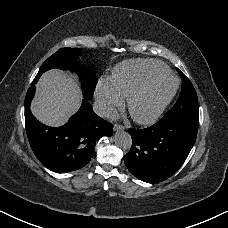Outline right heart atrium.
<instances>
[{"label":"right heart atrium","mask_w":228,"mask_h":228,"mask_svg":"<svg viewBox=\"0 0 228 228\" xmlns=\"http://www.w3.org/2000/svg\"><path fill=\"white\" fill-rule=\"evenodd\" d=\"M96 99L104 111H109L114 106H120L123 103V96L109 79L99 81L96 89Z\"/></svg>","instance_id":"d8ad5b80"}]
</instances>
